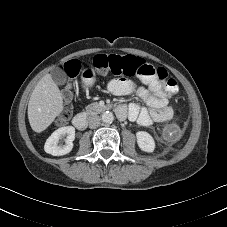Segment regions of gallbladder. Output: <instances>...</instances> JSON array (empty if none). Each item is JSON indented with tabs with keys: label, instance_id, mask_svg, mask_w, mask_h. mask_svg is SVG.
<instances>
[{
	"label": "gallbladder",
	"instance_id": "bac80fb5",
	"mask_svg": "<svg viewBox=\"0 0 227 227\" xmlns=\"http://www.w3.org/2000/svg\"><path fill=\"white\" fill-rule=\"evenodd\" d=\"M53 81L58 85H63L67 82V74L62 68H55L51 72Z\"/></svg>",
	"mask_w": 227,
	"mask_h": 227
}]
</instances>
